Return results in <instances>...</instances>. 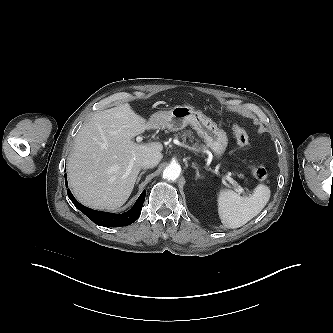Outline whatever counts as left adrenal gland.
Masks as SVG:
<instances>
[{"mask_svg":"<svg viewBox=\"0 0 333 333\" xmlns=\"http://www.w3.org/2000/svg\"><path fill=\"white\" fill-rule=\"evenodd\" d=\"M192 167L196 170V176H195V179L197 180L198 178H201L202 176H201L200 173H199L198 167H196V166L194 165V163H192Z\"/></svg>","mask_w":333,"mask_h":333,"instance_id":"obj_1","label":"left adrenal gland"}]
</instances>
